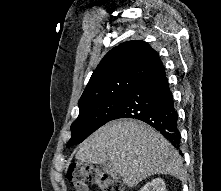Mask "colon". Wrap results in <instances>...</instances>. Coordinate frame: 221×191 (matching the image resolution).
<instances>
[{
    "label": "colon",
    "mask_w": 221,
    "mask_h": 191,
    "mask_svg": "<svg viewBox=\"0 0 221 191\" xmlns=\"http://www.w3.org/2000/svg\"><path fill=\"white\" fill-rule=\"evenodd\" d=\"M67 179L75 191H89L90 183L94 184L98 191H124L121 181L86 163L71 164L67 172Z\"/></svg>",
    "instance_id": "1"
}]
</instances>
